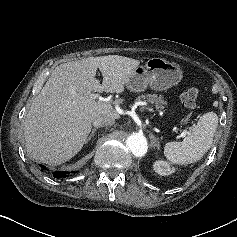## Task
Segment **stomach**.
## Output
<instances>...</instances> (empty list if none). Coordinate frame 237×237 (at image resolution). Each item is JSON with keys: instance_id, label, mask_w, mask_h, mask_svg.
<instances>
[{"instance_id": "0dacf381", "label": "stomach", "mask_w": 237, "mask_h": 237, "mask_svg": "<svg viewBox=\"0 0 237 237\" xmlns=\"http://www.w3.org/2000/svg\"><path fill=\"white\" fill-rule=\"evenodd\" d=\"M182 78L181 69L163 58H149L145 67H136L128 76L126 87L131 92H142L150 86L161 91L177 84Z\"/></svg>"}]
</instances>
